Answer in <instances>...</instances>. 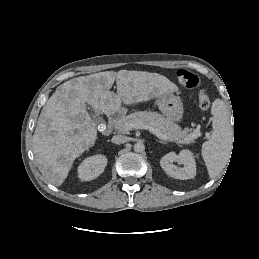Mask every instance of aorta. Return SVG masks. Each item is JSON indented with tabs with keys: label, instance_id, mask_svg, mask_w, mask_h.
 <instances>
[{
	"label": "aorta",
	"instance_id": "obj_1",
	"mask_svg": "<svg viewBox=\"0 0 259 259\" xmlns=\"http://www.w3.org/2000/svg\"><path fill=\"white\" fill-rule=\"evenodd\" d=\"M133 148H134V151L138 152V153H141L145 150V146L143 143H136V144H134Z\"/></svg>",
	"mask_w": 259,
	"mask_h": 259
}]
</instances>
